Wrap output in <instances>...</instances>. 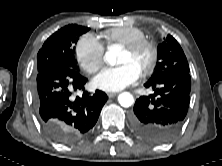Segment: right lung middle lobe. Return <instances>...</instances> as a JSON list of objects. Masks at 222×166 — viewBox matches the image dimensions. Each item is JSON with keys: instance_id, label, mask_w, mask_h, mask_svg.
Masks as SVG:
<instances>
[{"instance_id": "1", "label": "right lung middle lobe", "mask_w": 222, "mask_h": 166, "mask_svg": "<svg viewBox=\"0 0 222 166\" xmlns=\"http://www.w3.org/2000/svg\"><path fill=\"white\" fill-rule=\"evenodd\" d=\"M89 30L79 25H67L52 34L37 54V71L51 66H66L77 69L74 44Z\"/></svg>"}]
</instances>
